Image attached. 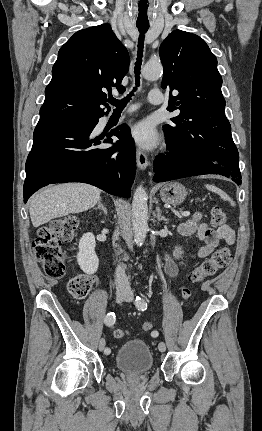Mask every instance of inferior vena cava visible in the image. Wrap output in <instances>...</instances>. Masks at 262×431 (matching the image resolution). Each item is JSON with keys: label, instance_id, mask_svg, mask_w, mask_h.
Returning <instances> with one entry per match:
<instances>
[{"label": "inferior vena cava", "instance_id": "602c4592", "mask_svg": "<svg viewBox=\"0 0 262 431\" xmlns=\"http://www.w3.org/2000/svg\"><path fill=\"white\" fill-rule=\"evenodd\" d=\"M115 284L117 290L130 291V285L128 282V278L125 274V270L120 265L116 268Z\"/></svg>", "mask_w": 262, "mask_h": 431}]
</instances>
